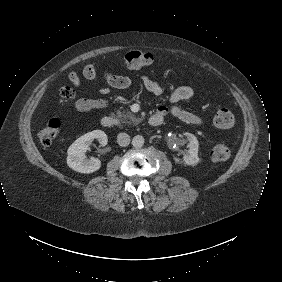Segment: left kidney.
Here are the masks:
<instances>
[{
  "mask_svg": "<svg viewBox=\"0 0 282 282\" xmlns=\"http://www.w3.org/2000/svg\"><path fill=\"white\" fill-rule=\"evenodd\" d=\"M189 141L188 150L184 153L183 160L187 165L195 166L199 163L198 148L199 142L196 136L192 133L185 132L183 134ZM175 162H179L178 158H174Z\"/></svg>",
  "mask_w": 282,
  "mask_h": 282,
  "instance_id": "obj_1",
  "label": "left kidney"
}]
</instances>
